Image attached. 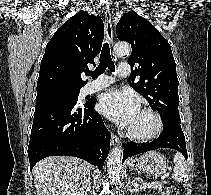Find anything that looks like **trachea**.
Returning <instances> with one entry per match:
<instances>
[{"mask_svg":"<svg viewBox=\"0 0 211 195\" xmlns=\"http://www.w3.org/2000/svg\"><path fill=\"white\" fill-rule=\"evenodd\" d=\"M106 68H108L111 72L115 71V65L110 56V48L108 43H105L103 45L98 67L95 71L87 72V75H90L94 79L96 78V76L102 74L106 70Z\"/></svg>","mask_w":211,"mask_h":195,"instance_id":"3493384b","label":"trachea"}]
</instances>
